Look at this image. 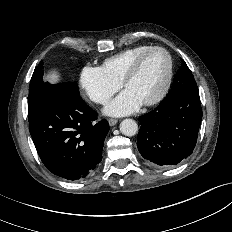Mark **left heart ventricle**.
<instances>
[{
    "label": "left heart ventricle",
    "mask_w": 232,
    "mask_h": 232,
    "mask_svg": "<svg viewBox=\"0 0 232 232\" xmlns=\"http://www.w3.org/2000/svg\"><path fill=\"white\" fill-rule=\"evenodd\" d=\"M167 72V56L161 51H155L145 57L137 74L126 85L125 90L144 103L160 92Z\"/></svg>",
    "instance_id": "1"
}]
</instances>
